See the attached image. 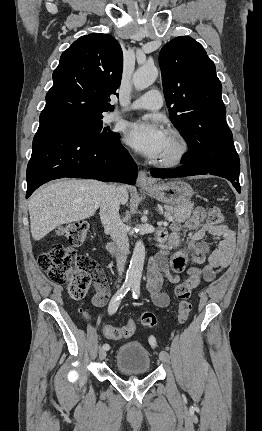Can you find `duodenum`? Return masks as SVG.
I'll return each mask as SVG.
<instances>
[{
    "mask_svg": "<svg viewBox=\"0 0 262 431\" xmlns=\"http://www.w3.org/2000/svg\"><path fill=\"white\" fill-rule=\"evenodd\" d=\"M107 250H108L111 254H114V253H115V250H116L115 245H114V244H108V246H107Z\"/></svg>",
    "mask_w": 262,
    "mask_h": 431,
    "instance_id": "duodenum-1",
    "label": "duodenum"
}]
</instances>
